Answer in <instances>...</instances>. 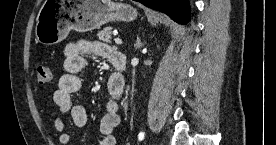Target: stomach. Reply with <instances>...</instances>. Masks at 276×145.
Instances as JSON below:
<instances>
[{
	"mask_svg": "<svg viewBox=\"0 0 276 145\" xmlns=\"http://www.w3.org/2000/svg\"><path fill=\"white\" fill-rule=\"evenodd\" d=\"M137 10L110 0H45L36 19V40L54 45L64 40L71 30L87 32L110 21H132Z\"/></svg>",
	"mask_w": 276,
	"mask_h": 145,
	"instance_id": "stomach-1",
	"label": "stomach"
}]
</instances>
